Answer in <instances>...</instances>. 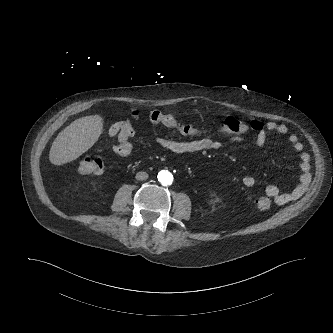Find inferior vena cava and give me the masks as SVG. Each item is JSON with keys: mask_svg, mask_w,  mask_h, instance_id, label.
<instances>
[{"mask_svg": "<svg viewBox=\"0 0 333 333\" xmlns=\"http://www.w3.org/2000/svg\"><path fill=\"white\" fill-rule=\"evenodd\" d=\"M148 177H149L148 174H147L146 172H143V171L138 172V173L136 174V179H137V180H140V181H142V180H147Z\"/></svg>", "mask_w": 333, "mask_h": 333, "instance_id": "inferior-vena-cava-1", "label": "inferior vena cava"}]
</instances>
